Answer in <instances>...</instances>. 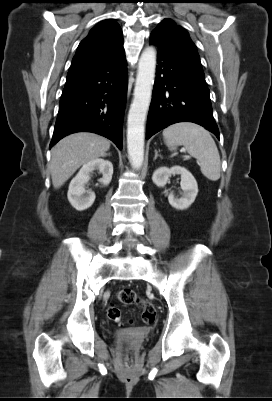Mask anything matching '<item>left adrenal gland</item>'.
<instances>
[{
	"label": "left adrenal gland",
	"instance_id": "left-adrenal-gland-1",
	"mask_svg": "<svg viewBox=\"0 0 272 401\" xmlns=\"http://www.w3.org/2000/svg\"><path fill=\"white\" fill-rule=\"evenodd\" d=\"M157 157H160L162 159V156L158 153L157 150H155V156H154L153 160L155 161L157 159Z\"/></svg>",
	"mask_w": 272,
	"mask_h": 401
}]
</instances>
